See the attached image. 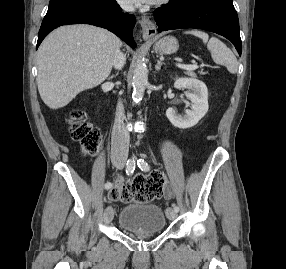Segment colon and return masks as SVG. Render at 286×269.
Segmentation results:
<instances>
[{
    "label": "colon",
    "mask_w": 286,
    "mask_h": 269,
    "mask_svg": "<svg viewBox=\"0 0 286 269\" xmlns=\"http://www.w3.org/2000/svg\"><path fill=\"white\" fill-rule=\"evenodd\" d=\"M71 137L77 141L84 155H93L100 145L101 134L97 127L84 119L82 110H75L68 120ZM165 185V176L155 172L148 176L138 174L130 181L118 179L108 192V198L113 202H149L160 197Z\"/></svg>",
    "instance_id": "obj_1"
}]
</instances>
